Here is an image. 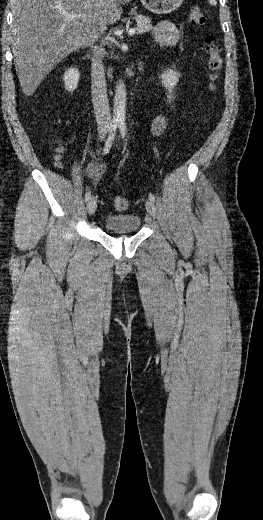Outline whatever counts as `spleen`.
I'll return each instance as SVG.
<instances>
[{
  "instance_id": "spleen-1",
  "label": "spleen",
  "mask_w": 263,
  "mask_h": 520,
  "mask_svg": "<svg viewBox=\"0 0 263 520\" xmlns=\"http://www.w3.org/2000/svg\"><path fill=\"white\" fill-rule=\"evenodd\" d=\"M209 3L214 6L217 4L216 0H209Z\"/></svg>"
}]
</instances>
